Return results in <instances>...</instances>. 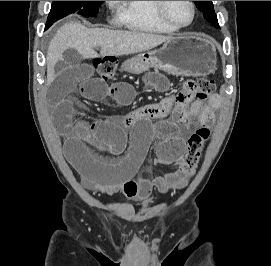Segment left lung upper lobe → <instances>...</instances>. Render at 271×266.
Returning a JSON list of instances; mask_svg holds the SVG:
<instances>
[{
	"mask_svg": "<svg viewBox=\"0 0 271 266\" xmlns=\"http://www.w3.org/2000/svg\"><path fill=\"white\" fill-rule=\"evenodd\" d=\"M196 7L203 13L204 18L215 28H219L217 16L212 1H194Z\"/></svg>",
	"mask_w": 271,
	"mask_h": 266,
	"instance_id": "5c2ea615",
	"label": "left lung upper lobe"
}]
</instances>
